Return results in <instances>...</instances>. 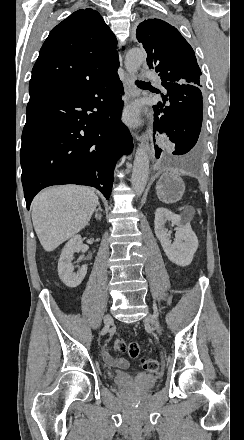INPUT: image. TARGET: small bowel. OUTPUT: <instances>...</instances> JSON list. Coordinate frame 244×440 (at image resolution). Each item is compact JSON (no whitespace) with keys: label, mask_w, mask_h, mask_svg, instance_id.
<instances>
[{"label":"small bowel","mask_w":244,"mask_h":440,"mask_svg":"<svg viewBox=\"0 0 244 440\" xmlns=\"http://www.w3.org/2000/svg\"><path fill=\"white\" fill-rule=\"evenodd\" d=\"M104 359L112 366L117 367L119 369H126L128 368V362L126 360H121L120 362H117L115 358L109 353H104Z\"/></svg>","instance_id":"obj_1"}]
</instances>
